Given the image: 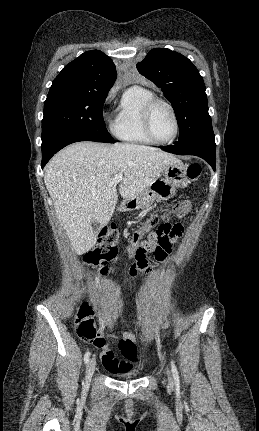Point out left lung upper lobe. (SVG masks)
Wrapping results in <instances>:
<instances>
[{
    "label": "left lung upper lobe",
    "instance_id": "left-lung-upper-lobe-1",
    "mask_svg": "<svg viewBox=\"0 0 259 431\" xmlns=\"http://www.w3.org/2000/svg\"><path fill=\"white\" fill-rule=\"evenodd\" d=\"M137 69L160 87L172 104L180 127L177 143H215L204 81L187 57L155 48Z\"/></svg>",
    "mask_w": 259,
    "mask_h": 431
}]
</instances>
